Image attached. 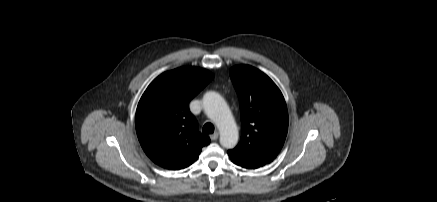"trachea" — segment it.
Here are the masks:
<instances>
[{"mask_svg": "<svg viewBox=\"0 0 437 202\" xmlns=\"http://www.w3.org/2000/svg\"><path fill=\"white\" fill-rule=\"evenodd\" d=\"M205 134H212L214 132V125L212 123H206L202 129Z\"/></svg>", "mask_w": 437, "mask_h": 202, "instance_id": "trachea-1", "label": "trachea"}]
</instances>
